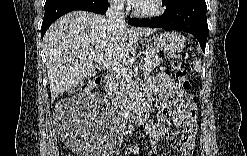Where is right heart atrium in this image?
Here are the masks:
<instances>
[{"instance_id": "right-heart-atrium-1", "label": "right heart atrium", "mask_w": 247, "mask_h": 156, "mask_svg": "<svg viewBox=\"0 0 247 156\" xmlns=\"http://www.w3.org/2000/svg\"><path fill=\"white\" fill-rule=\"evenodd\" d=\"M111 4L116 8H121L123 5V2L121 0H114L111 2Z\"/></svg>"}]
</instances>
